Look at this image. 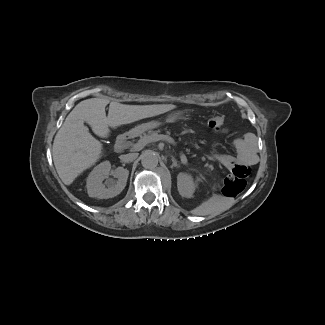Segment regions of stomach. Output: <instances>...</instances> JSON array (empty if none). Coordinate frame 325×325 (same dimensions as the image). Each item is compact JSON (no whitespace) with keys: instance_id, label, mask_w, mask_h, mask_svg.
I'll use <instances>...</instances> for the list:
<instances>
[{"instance_id":"stomach-1","label":"stomach","mask_w":325,"mask_h":325,"mask_svg":"<svg viewBox=\"0 0 325 325\" xmlns=\"http://www.w3.org/2000/svg\"><path fill=\"white\" fill-rule=\"evenodd\" d=\"M179 118H180V113H175V114L170 115L167 118V122H175ZM157 126H158L157 122H151V123H148V124H143V125H140V126L134 128V129H132L131 131H129L128 135H130V136H138V135L142 134L143 132H145L146 130L155 128Z\"/></svg>"}]
</instances>
